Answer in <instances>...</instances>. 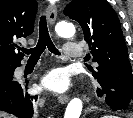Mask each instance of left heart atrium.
Instances as JSON below:
<instances>
[{"label":"left heart atrium","instance_id":"left-heart-atrium-1","mask_svg":"<svg viewBox=\"0 0 133 118\" xmlns=\"http://www.w3.org/2000/svg\"><path fill=\"white\" fill-rule=\"evenodd\" d=\"M41 86L54 93L64 92L69 88L68 75L61 68L53 69L43 77Z\"/></svg>","mask_w":133,"mask_h":118}]
</instances>
